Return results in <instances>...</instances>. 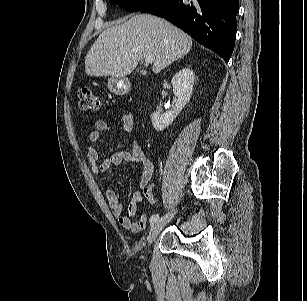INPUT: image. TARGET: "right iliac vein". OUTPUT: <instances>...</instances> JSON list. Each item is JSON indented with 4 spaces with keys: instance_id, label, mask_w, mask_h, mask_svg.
I'll use <instances>...</instances> for the list:
<instances>
[{
    "instance_id": "63e3f726",
    "label": "right iliac vein",
    "mask_w": 307,
    "mask_h": 301,
    "mask_svg": "<svg viewBox=\"0 0 307 301\" xmlns=\"http://www.w3.org/2000/svg\"><path fill=\"white\" fill-rule=\"evenodd\" d=\"M174 214V212L168 213L152 224L147 237L149 245L155 240L162 228L173 218Z\"/></svg>"
}]
</instances>
